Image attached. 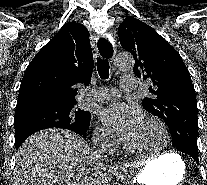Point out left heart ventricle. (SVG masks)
I'll use <instances>...</instances> for the list:
<instances>
[{
  "mask_svg": "<svg viewBox=\"0 0 207 185\" xmlns=\"http://www.w3.org/2000/svg\"><path fill=\"white\" fill-rule=\"evenodd\" d=\"M126 138L130 147L137 151H159L165 145L160 128L146 120H142Z\"/></svg>",
  "mask_w": 207,
  "mask_h": 185,
  "instance_id": "b2bd125f",
  "label": "left heart ventricle"
}]
</instances>
